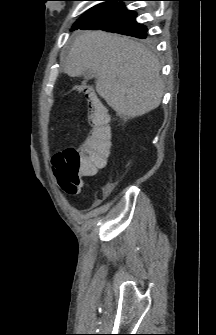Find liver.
I'll return each mask as SVG.
<instances>
[{
  "mask_svg": "<svg viewBox=\"0 0 216 335\" xmlns=\"http://www.w3.org/2000/svg\"><path fill=\"white\" fill-rule=\"evenodd\" d=\"M161 66L143 44L101 30L83 31L73 41L64 71L95 74L96 91L120 117L135 118L157 108L163 97Z\"/></svg>",
  "mask_w": 216,
  "mask_h": 335,
  "instance_id": "6515ba94",
  "label": "liver"
}]
</instances>
